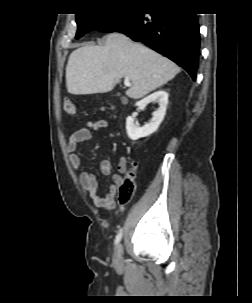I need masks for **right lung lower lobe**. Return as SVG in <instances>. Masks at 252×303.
Listing matches in <instances>:
<instances>
[{
  "mask_svg": "<svg viewBox=\"0 0 252 303\" xmlns=\"http://www.w3.org/2000/svg\"><path fill=\"white\" fill-rule=\"evenodd\" d=\"M120 32L183 67L193 80L199 63L200 33L196 14L164 8L150 14L130 11L98 30Z\"/></svg>",
  "mask_w": 252,
  "mask_h": 303,
  "instance_id": "obj_1",
  "label": "right lung lower lobe"
}]
</instances>
